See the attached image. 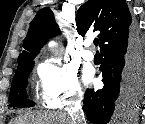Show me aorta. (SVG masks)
Listing matches in <instances>:
<instances>
[{"instance_id":"1","label":"aorta","mask_w":145,"mask_h":124,"mask_svg":"<svg viewBox=\"0 0 145 124\" xmlns=\"http://www.w3.org/2000/svg\"><path fill=\"white\" fill-rule=\"evenodd\" d=\"M56 44H55V42L54 41H51L50 43H49V46L50 47H54Z\"/></svg>"}]
</instances>
